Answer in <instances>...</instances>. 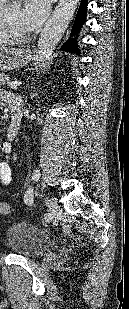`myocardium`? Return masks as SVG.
Masks as SVG:
<instances>
[{
  "mask_svg": "<svg viewBox=\"0 0 129 309\" xmlns=\"http://www.w3.org/2000/svg\"><path fill=\"white\" fill-rule=\"evenodd\" d=\"M1 30L5 36L11 37L18 29L14 26L12 20L8 16V13L1 11L0 14Z\"/></svg>",
  "mask_w": 129,
  "mask_h": 309,
  "instance_id": "1",
  "label": "myocardium"
}]
</instances>
